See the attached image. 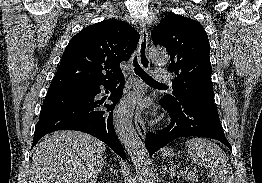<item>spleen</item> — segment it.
Returning a JSON list of instances; mask_svg holds the SVG:
<instances>
[{"mask_svg":"<svg viewBox=\"0 0 262 183\" xmlns=\"http://www.w3.org/2000/svg\"><path fill=\"white\" fill-rule=\"evenodd\" d=\"M186 147L192 161L209 169L207 175L214 183H234L229 159L215 143L204 138L187 140Z\"/></svg>","mask_w":262,"mask_h":183,"instance_id":"1","label":"spleen"}]
</instances>
